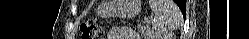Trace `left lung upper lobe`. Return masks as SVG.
Wrapping results in <instances>:
<instances>
[{
  "instance_id": "left-lung-upper-lobe-1",
  "label": "left lung upper lobe",
  "mask_w": 249,
  "mask_h": 39,
  "mask_svg": "<svg viewBox=\"0 0 249 39\" xmlns=\"http://www.w3.org/2000/svg\"><path fill=\"white\" fill-rule=\"evenodd\" d=\"M182 4H183L182 2H181V3H179V6H180V7H182V6H183Z\"/></svg>"
}]
</instances>
